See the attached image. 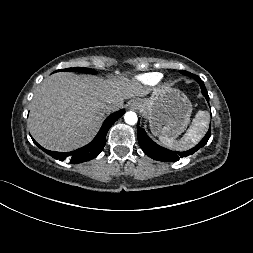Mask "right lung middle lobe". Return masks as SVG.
Instances as JSON below:
<instances>
[{
	"label": "right lung middle lobe",
	"mask_w": 253,
	"mask_h": 253,
	"mask_svg": "<svg viewBox=\"0 0 253 253\" xmlns=\"http://www.w3.org/2000/svg\"><path fill=\"white\" fill-rule=\"evenodd\" d=\"M58 71H69V72H73V71H78V72H84V73H90V74H96L97 72L93 69H89V68H67V69H60Z\"/></svg>",
	"instance_id": "obj_1"
}]
</instances>
